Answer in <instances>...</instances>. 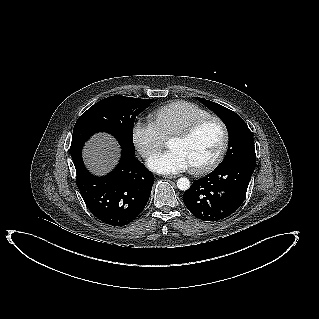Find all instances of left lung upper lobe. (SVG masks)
I'll return each instance as SVG.
<instances>
[{
	"mask_svg": "<svg viewBox=\"0 0 319 319\" xmlns=\"http://www.w3.org/2000/svg\"><path fill=\"white\" fill-rule=\"evenodd\" d=\"M201 103L213 111L226 125L229 134L227 154L219 166L236 160L249 161L256 164L254 139L246 123L232 110L212 101L196 97Z\"/></svg>",
	"mask_w": 319,
	"mask_h": 319,
	"instance_id": "obj_1",
	"label": "left lung upper lobe"
}]
</instances>
